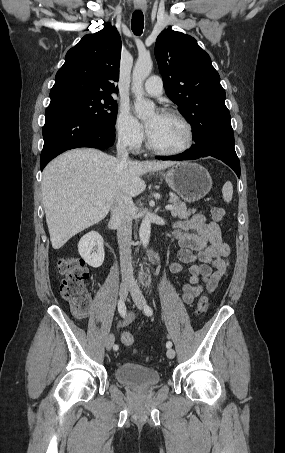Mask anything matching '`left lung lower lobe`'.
I'll list each match as a JSON object with an SVG mask.
<instances>
[{
	"label": "left lung lower lobe",
	"mask_w": 285,
	"mask_h": 453,
	"mask_svg": "<svg viewBox=\"0 0 285 453\" xmlns=\"http://www.w3.org/2000/svg\"><path fill=\"white\" fill-rule=\"evenodd\" d=\"M195 142L196 144L192 145L189 151L175 156H157L156 158L162 160H191L212 156L230 166L240 177V163L234 148L233 131H211L195 140Z\"/></svg>",
	"instance_id": "left-lung-lower-lobe-1"
}]
</instances>
